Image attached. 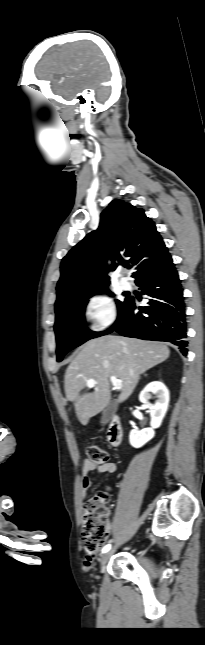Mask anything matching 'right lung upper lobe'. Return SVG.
Wrapping results in <instances>:
<instances>
[{
  "label": "right lung upper lobe",
  "mask_w": 205,
  "mask_h": 645,
  "mask_svg": "<svg viewBox=\"0 0 205 645\" xmlns=\"http://www.w3.org/2000/svg\"><path fill=\"white\" fill-rule=\"evenodd\" d=\"M170 256L154 222L142 209L113 200L101 214L100 225L63 258L57 284L55 312L73 305L81 296L107 290V275L124 257L134 267L133 277ZM113 261L111 267L107 259Z\"/></svg>",
  "instance_id": "right-lung-upper-lobe-1"
}]
</instances>
